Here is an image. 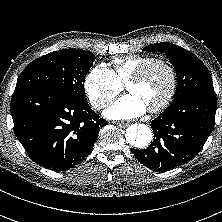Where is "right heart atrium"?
Instances as JSON below:
<instances>
[{"label":"right heart atrium","mask_w":222,"mask_h":222,"mask_svg":"<svg viewBox=\"0 0 222 222\" xmlns=\"http://www.w3.org/2000/svg\"><path fill=\"white\" fill-rule=\"evenodd\" d=\"M84 88L91 106L96 110H103L120 93L122 85L110 68L105 64H98L87 74Z\"/></svg>","instance_id":"d8ad5b80"}]
</instances>
